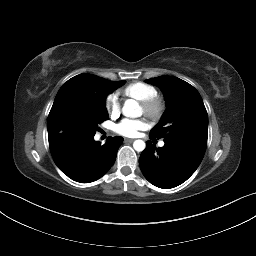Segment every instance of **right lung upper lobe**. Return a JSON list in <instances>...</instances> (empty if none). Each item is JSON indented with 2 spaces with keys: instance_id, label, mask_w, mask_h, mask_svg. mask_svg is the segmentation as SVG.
<instances>
[{
  "instance_id": "obj_1",
  "label": "right lung upper lobe",
  "mask_w": 256,
  "mask_h": 256,
  "mask_svg": "<svg viewBox=\"0 0 256 256\" xmlns=\"http://www.w3.org/2000/svg\"><path fill=\"white\" fill-rule=\"evenodd\" d=\"M101 80L103 78L83 73L64 83L56 95L48 116V132H53V120L60 108L68 104H82L89 99Z\"/></svg>"
}]
</instances>
